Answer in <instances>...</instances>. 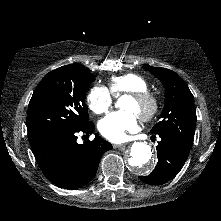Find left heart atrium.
I'll return each mask as SVG.
<instances>
[{"instance_id": "left-heart-atrium-1", "label": "left heart atrium", "mask_w": 221, "mask_h": 221, "mask_svg": "<svg viewBox=\"0 0 221 221\" xmlns=\"http://www.w3.org/2000/svg\"><path fill=\"white\" fill-rule=\"evenodd\" d=\"M137 127V115L130 110L112 112L98 123L100 134L112 142H122L127 133L134 132Z\"/></svg>"}]
</instances>
